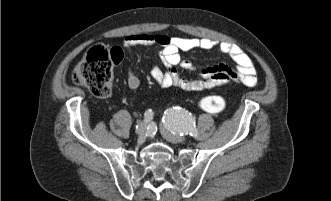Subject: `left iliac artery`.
I'll return each instance as SVG.
<instances>
[{"mask_svg": "<svg viewBox=\"0 0 331 201\" xmlns=\"http://www.w3.org/2000/svg\"><path fill=\"white\" fill-rule=\"evenodd\" d=\"M162 121L165 127L173 134L179 133L180 135L189 134L192 137L198 136L194 118L191 113L181 107L175 106L167 109L164 112Z\"/></svg>", "mask_w": 331, "mask_h": 201, "instance_id": "obj_1", "label": "left iliac artery"}]
</instances>
